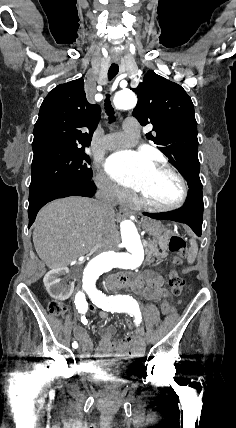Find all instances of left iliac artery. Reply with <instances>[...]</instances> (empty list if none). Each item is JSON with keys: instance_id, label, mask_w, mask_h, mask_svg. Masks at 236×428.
Instances as JSON below:
<instances>
[{"instance_id": "obj_1", "label": "left iliac artery", "mask_w": 236, "mask_h": 428, "mask_svg": "<svg viewBox=\"0 0 236 428\" xmlns=\"http://www.w3.org/2000/svg\"><path fill=\"white\" fill-rule=\"evenodd\" d=\"M92 303L107 312H128L139 307L137 301L129 295H116L107 297L102 291H87Z\"/></svg>"}]
</instances>
